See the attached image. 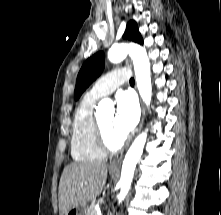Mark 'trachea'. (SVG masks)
Instances as JSON below:
<instances>
[{"label": "trachea", "instance_id": "trachea-1", "mask_svg": "<svg viewBox=\"0 0 221 215\" xmlns=\"http://www.w3.org/2000/svg\"><path fill=\"white\" fill-rule=\"evenodd\" d=\"M134 82H135L134 79L131 78V79H130V84H134Z\"/></svg>", "mask_w": 221, "mask_h": 215}]
</instances>
